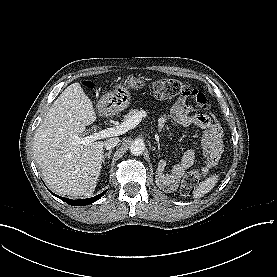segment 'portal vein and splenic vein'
I'll return each mask as SVG.
<instances>
[{"instance_id": "1", "label": "portal vein and splenic vein", "mask_w": 277, "mask_h": 277, "mask_svg": "<svg viewBox=\"0 0 277 277\" xmlns=\"http://www.w3.org/2000/svg\"><path fill=\"white\" fill-rule=\"evenodd\" d=\"M146 115L147 113L145 111H139L138 113L130 117L128 120L121 123L120 125L100 130L98 132L93 133L92 135L83 138L75 137V141L81 144H88L99 139L122 135L126 133L128 130L136 127L141 122L142 118Z\"/></svg>"}]
</instances>
